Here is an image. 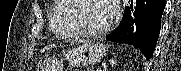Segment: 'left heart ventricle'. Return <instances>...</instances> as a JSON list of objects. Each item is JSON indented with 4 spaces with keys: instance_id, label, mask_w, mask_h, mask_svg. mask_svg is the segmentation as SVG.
<instances>
[{
    "instance_id": "b2bd125f",
    "label": "left heart ventricle",
    "mask_w": 181,
    "mask_h": 71,
    "mask_svg": "<svg viewBox=\"0 0 181 71\" xmlns=\"http://www.w3.org/2000/svg\"><path fill=\"white\" fill-rule=\"evenodd\" d=\"M110 5L103 0H85L80 3L79 18L90 30H99L110 21Z\"/></svg>"
}]
</instances>
